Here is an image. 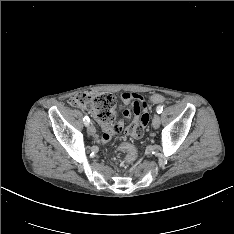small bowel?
<instances>
[{"instance_id": "obj_1", "label": "small bowel", "mask_w": 234, "mask_h": 234, "mask_svg": "<svg viewBox=\"0 0 234 234\" xmlns=\"http://www.w3.org/2000/svg\"><path fill=\"white\" fill-rule=\"evenodd\" d=\"M120 109L123 110L122 114L125 118L130 119L132 116L135 117L134 122L126 126L125 133L134 136L135 139H140L145 136L148 131L147 123L149 121V113L147 112L148 105L145 99L137 93H124L123 100L120 103ZM139 120L140 123L136 125ZM100 123L103 131L100 140H103V143L105 144L111 140L116 131H121L123 127L120 120H115L114 125L106 122Z\"/></svg>"}]
</instances>
